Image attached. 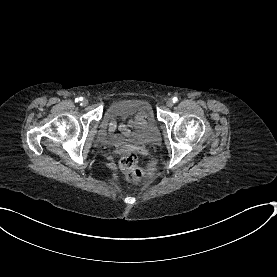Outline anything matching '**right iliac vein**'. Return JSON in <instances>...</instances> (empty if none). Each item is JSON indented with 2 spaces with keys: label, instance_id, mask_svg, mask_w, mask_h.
<instances>
[{
  "label": "right iliac vein",
  "instance_id": "1",
  "mask_svg": "<svg viewBox=\"0 0 277 277\" xmlns=\"http://www.w3.org/2000/svg\"><path fill=\"white\" fill-rule=\"evenodd\" d=\"M81 104H82L83 106H86V105L88 104V100L84 99V100L81 102Z\"/></svg>",
  "mask_w": 277,
  "mask_h": 277
}]
</instances>
